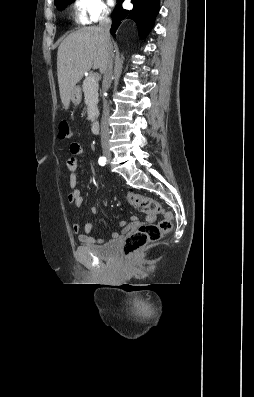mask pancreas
Returning a JSON list of instances; mask_svg holds the SVG:
<instances>
[{"label":"pancreas","mask_w":254,"mask_h":397,"mask_svg":"<svg viewBox=\"0 0 254 397\" xmlns=\"http://www.w3.org/2000/svg\"><path fill=\"white\" fill-rule=\"evenodd\" d=\"M93 75L86 77L82 84L85 103L87 105L88 120L94 121L98 115V79L92 80Z\"/></svg>","instance_id":"pancreas-1"}]
</instances>
